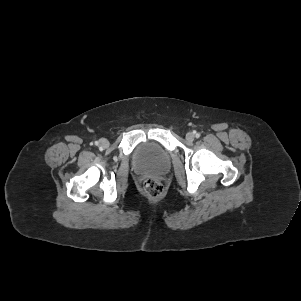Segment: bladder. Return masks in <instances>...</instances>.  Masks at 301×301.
I'll use <instances>...</instances> for the list:
<instances>
[{
	"mask_svg": "<svg viewBox=\"0 0 301 301\" xmlns=\"http://www.w3.org/2000/svg\"><path fill=\"white\" fill-rule=\"evenodd\" d=\"M168 151L154 141L140 144L133 156V165L139 172L164 174L170 168Z\"/></svg>",
	"mask_w": 301,
	"mask_h": 301,
	"instance_id": "1",
	"label": "bladder"
}]
</instances>
